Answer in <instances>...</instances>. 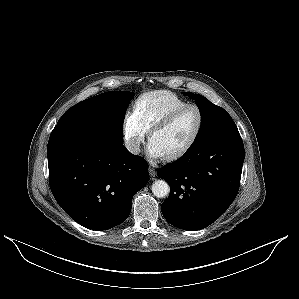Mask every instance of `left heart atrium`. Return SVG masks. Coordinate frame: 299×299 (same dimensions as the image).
<instances>
[{
	"label": "left heart atrium",
	"mask_w": 299,
	"mask_h": 299,
	"mask_svg": "<svg viewBox=\"0 0 299 299\" xmlns=\"http://www.w3.org/2000/svg\"><path fill=\"white\" fill-rule=\"evenodd\" d=\"M147 154L149 157L154 159L165 156V153L152 140H150L147 145Z\"/></svg>",
	"instance_id": "left-heart-atrium-1"
}]
</instances>
